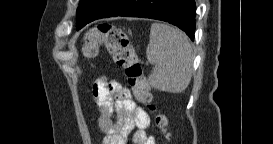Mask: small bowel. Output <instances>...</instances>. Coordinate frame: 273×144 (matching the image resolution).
<instances>
[{
  "instance_id": "small-bowel-1",
  "label": "small bowel",
  "mask_w": 273,
  "mask_h": 144,
  "mask_svg": "<svg viewBox=\"0 0 273 144\" xmlns=\"http://www.w3.org/2000/svg\"><path fill=\"white\" fill-rule=\"evenodd\" d=\"M92 94L104 144H126L130 134L133 144H155L154 136L148 133V113L137 105L131 91L119 80L99 78L92 87Z\"/></svg>"
}]
</instances>
